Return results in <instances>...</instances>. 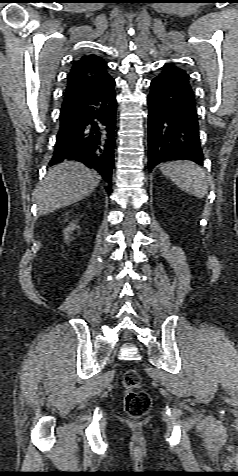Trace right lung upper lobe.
<instances>
[{
	"label": "right lung upper lobe",
	"mask_w": 238,
	"mask_h": 476,
	"mask_svg": "<svg viewBox=\"0 0 238 476\" xmlns=\"http://www.w3.org/2000/svg\"><path fill=\"white\" fill-rule=\"evenodd\" d=\"M110 78L107 64L99 56L83 55L75 61L67 75L62 108L73 106L99 90Z\"/></svg>",
	"instance_id": "1"
}]
</instances>
